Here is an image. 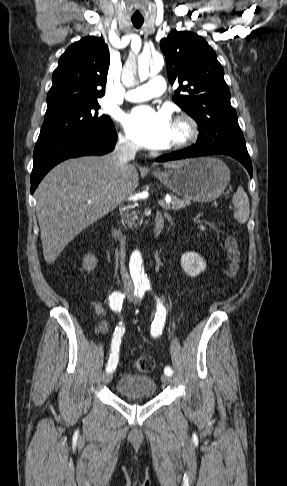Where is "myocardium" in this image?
<instances>
[{"label": "myocardium", "mask_w": 287, "mask_h": 486, "mask_svg": "<svg viewBox=\"0 0 287 486\" xmlns=\"http://www.w3.org/2000/svg\"><path fill=\"white\" fill-rule=\"evenodd\" d=\"M174 124L183 129V134L170 144V149H183L192 145L198 138L199 128L196 121L188 114H180L175 118Z\"/></svg>", "instance_id": "1"}]
</instances>
